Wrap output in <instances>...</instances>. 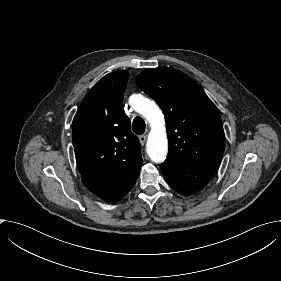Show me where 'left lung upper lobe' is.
Segmentation results:
<instances>
[{
	"mask_svg": "<svg viewBox=\"0 0 281 281\" xmlns=\"http://www.w3.org/2000/svg\"><path fill=\"white\" fill-rule=\"evenodd\" d=\"M140 89L161 107L169 140L167 159L195 167H218L225 137L218 109L184 73L169 67L146 69Z\"/></svg>",
	"mask_w": 281,
	"mask_h": 281,
	"instance_id": "obj_1",
	"label": "left lung upper lobe"
}]
</instances>
